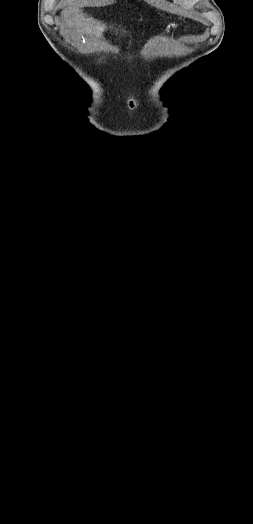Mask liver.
Listing matches in <instances>:
<instances>
[{"label": "liver", "instance_id": "obj_1", "mask_svg": "<svg viewBox=\"0 0 253 524\" xmlns=\"http://www.w3.org/2000/svg\"><path fill=\"white\" fill-rule=\"evenodd\" d=\"M62 26L66 28H74L78 32H83L86 35H95L101 37L106 29V25L95 20L94 18H86L78 5L70 1V5L61 12Z\"/></svg>", "mask_w": 253, "mask_h": 524}]
</instances>
